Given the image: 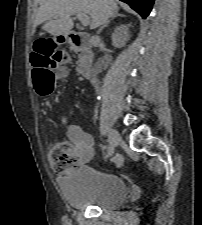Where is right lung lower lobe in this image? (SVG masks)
<instances>
[{
    "instance_id": "1",
    "label": "right lung lower lobe",
    "mask_w": 202,
    "mask_h": 225,
    "mask_svg": "<svg viewBox=\"0 0 202 225\" xmlns=\"http://www.w3.org/2000/svg\"><path fill=\"white\" fill-rule=\"evenodd\" d=\"M129 4L135 11H137L143 18H146L154 3V0H121Z\"/></svg>"
}]
</instances>
